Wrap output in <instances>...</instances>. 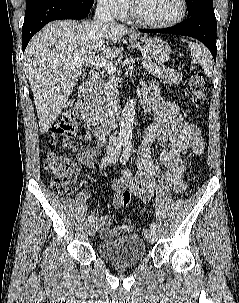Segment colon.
I'll return each mask as SVG.
<instances>
[{
	"mask_svg": "<svg viewBox=\"0 0 239 303\" xmlns=\"http://www.w3.org/2000/svg\"><path fill=\"white\" fill-rule=\"evenodd\" d=\"M188 85L191 101L195 107H201L206 100L205 76L196 68L189 72ZM79 124L78 107L75 102H68L54 128V139L62 147H67ZM44 170L51 176V188L58 194L67 193L73 186L78 163L69 155L50 153L43 163ZM122 207L130 202V193L123 192L119 196Z\"/></svg>",
	"mask_w": 239,
	"mask_h": 303,
	"instance_id": "obj_1",
	"label": "colon"
}]
</instances>
